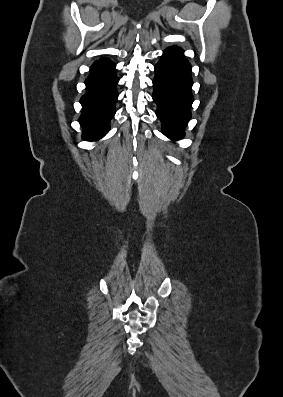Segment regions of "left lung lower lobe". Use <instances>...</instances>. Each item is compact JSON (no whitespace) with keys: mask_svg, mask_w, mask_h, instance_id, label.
Masks as SVG:
<instances>
[{"mask_svg":"<svg viewBox=\"0 0 283 397\" xmlns=\"http://www.w3.org/2000/svg\"><path fill=\"white\" fill-rule=\"evenodd\" d=\"M152 98L157 104L156 115L162 122V133L172 140L184 137V127L191 119L194 97L191 64L182 49L173 46L164 50L155 65Z\"/></svg>","mask_w":283,"mask_h":397,"instance_id":"left-lung-lower-lobe-1","label":"left lung lower lobe"}]
</instances>
